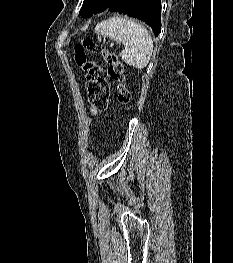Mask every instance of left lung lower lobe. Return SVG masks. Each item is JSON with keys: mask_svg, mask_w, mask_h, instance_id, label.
<instances>
[{"mask_svg": "<svg viewBox=\"0 0 233 263\" xmlns=\"http://www.w3.org/2000/svg\"><path fill=\"white\" fill-rule=\"evenodd\" d=\"M160 9V0H115L108 7L110 11L124 13L144 21L156 36L161 31Z\"/></svg>", "mask_w": 233, "mask_h": 263, "instance_id": "obj_1", "label": "left lung lower lobe"}]
</instances>
